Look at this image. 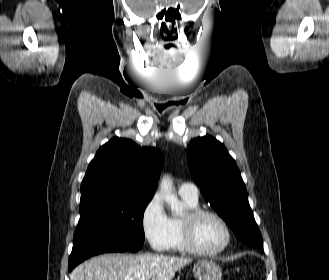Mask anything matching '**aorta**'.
<instances>
[{"label":"aorta","mask_w":329,"mask_h":280,"mask_svg":"<svg viewBox=\"0 0 329 280\" xmlns=\"http://www.w3.org/2000/svg\"><path fill=\"white\" fill-rule=\"evenodd\" d=\"M161 193L170 206L171 211L176 213H182L183 204L178 200L177 195L174 193V188L172 184V179L168 176H164L160 183Z\"/></svg>","instance_id":"aorta-1"}]
</instances>
